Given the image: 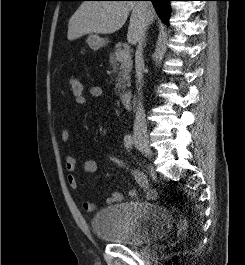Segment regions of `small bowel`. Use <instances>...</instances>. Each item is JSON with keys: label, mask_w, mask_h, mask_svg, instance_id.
<instances>
[{"label": "small bowel", "mask_w": 245, "mask_h": 265, "mask_svg": "<svg viewBox=\"0 0 245 265\" xmlns=\"http://www.w3.org/2000/svg\"><path fill=\"white\" fill-rule=\"evenodd\" d=\"M88 94L92 98H98V97H101L103 95V90L100 86L93 85L88 89ZM87 102H88V100H86V102L84 104H77V105L79 107H84L87 105ZM60 137H61V140L63 142H67L70 138L69 130L67 128L62 129ZM80 166H81L83 172L86 174H92L97 170V163L93 159L83 160L81 162ZM65 167H66V170L68 172L67 182H68L69 186L72 189H78L80 186V182H79V179L76 175V170L78 167V162H77L76 158L72 155H67L65 158ZM132 176H133L134 180L137 182V184L139 186H141L143 189H145L146 197L148 199H155L157 197V195H158L157 191L154 189H150L148 187V180L142 172H140L138 170H133ZM128 195L130 198H136L137 197V191L135 189H131V190H129ZM122 200H123V195L120 192L115 191L108 198H106L105 203L107 205H111L114 203H119ZM83 208L87 212H92L95 210L96 205L93 202L86 201L83 204Z\"/></svg>", "instance_id": "obj_1"}]
</instances>
